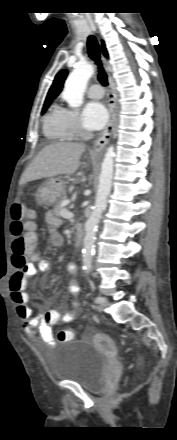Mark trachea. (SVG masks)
Listing matches in <instances>:
<instances>
[{
	"mask_svg": "<svg viewBox=\"0 0 177 440\" xmlns=\"http://www.w3.org/2000/svg\"><path fill=\"white\" fill-rule=\"evenodd\" d=\"M87 48H88L89 57L92 60H94L95 63L98 65V69H99L98 79L100 83L103 86H107L108 85L107 75L102 67V63L100 60V47L96 38L92 35L88 37Z\"/></svg>",
	"mask_w": 177,
	"mask_h": 440,
	"instance_id": "3493384b",
	"label": "trachea"
}]
</instances>
